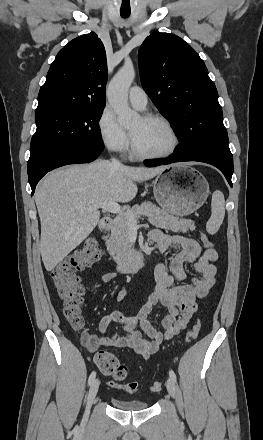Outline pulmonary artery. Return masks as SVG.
<instances>
[{"label": "pulmonary artery", "instance_id": "pulmonary-artery-1", "mask_svg": "<svg viewBox=\"0 0 263 440\" xmlns=\"http://www.w3.org/2000/svg\"><path fill=\"white\" fill-rule=\"evenodd\" d=\"M128 98L131 105H133L135 108L139 110L145 109L147 105V94L142 88L137 86L132 87L129 90Z\"/></svg>", "mask_w": 263, "mask_h": 440}]
</instances>
